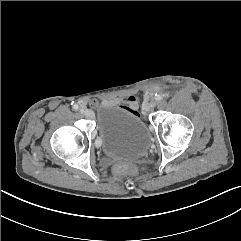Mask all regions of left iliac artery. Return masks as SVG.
Here are the masks:
<instances>
[{
  "label": "left iliac artery",
  "mask_w": 241,
  "mask_h": 241,
  "mask_svg": "<svg viewBox=\"0 0 241 241\" xmlns=\"http://www.w3.org/2000/svg\"><path fill=\"white\" fill-rule=\"evenodd\" d=\"M156 100L157 101H161L162 100V96L161 95H156Z\"/></svg>",
  "instance_id": "obj_1"
}]
</instances>
